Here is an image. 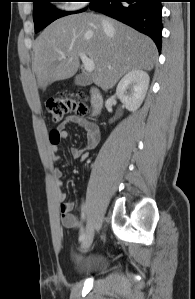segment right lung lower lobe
Returning <instances> with one entry per match:
<instances>
[{"instance_id":"right-lung-lower-lobe-1","label":"right lung lower lobe","mask_w":195,"mask_h":299,"mask_svg":"<svg viewBox=\"0 0 195 299\" xmlns=\"http://www.w3.org/2000/svg\"><path fill=\"white\" fill-rule=\"evenodd\" d=\"M162 0H93L92 10L115 18L148 35L161 50Z\"/></svg>"}]
</instances>
